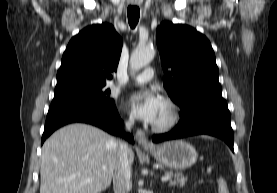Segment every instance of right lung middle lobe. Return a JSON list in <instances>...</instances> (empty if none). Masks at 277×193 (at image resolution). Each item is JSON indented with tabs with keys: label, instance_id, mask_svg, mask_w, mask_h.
<instances>
[{
	"label": "right lung middle lobe",
	"instance_id": "dd1d6c3e",
	"mask_svg": "<svg viewBox=\"0 0 277 193\" xmlns=\"http://www.w3.org/2000/svg\"><path fill=\"white\" fill-rule=\"evenodd\" d=\"M105 85L73 89L55 93L54 98L81 99L102 106H113L114 100L110 98V90H104Z\"/></svg>",
	"mask_w": 277,
	"mask_h": 193
}]
</instances>
